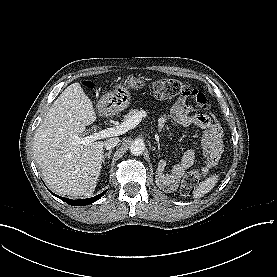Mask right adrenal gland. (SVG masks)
<instances>
[{
  "label": "right adrenal gland",
  "instance_id": "2a0ac1e0",
  "mask_svg": "<svg viewBox=\"0 0 277 277\" xmlns=\"http://www.w3.org/2000/svg\"><path fill=\"white\" fill-rule=\"evenodd\" d=\"M111 152L112 150H109L103 155V159H102L103 164H105V158H107L108 160L110 159Z\"/></svg>",
  "mask_w": 277,
  "mask_h": 277
}]
</instances>
